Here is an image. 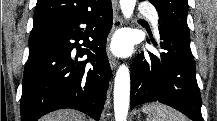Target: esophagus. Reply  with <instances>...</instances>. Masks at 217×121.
I'll return each mask as SVG.
<instances>
[{"instance_id":"esophagus-1","label":"esophagus","mask_w":217,"mask_h":121,"mask_svg":"<svg viewBox=\"0 0 217 121\" xmlns=\"http://www.w3.org/2000/svg\"><path fill=\"white\" fill-rule=\"evenodd\" d=\"M122 25H123L122 17L120 15H118L117 13H115L114 19H113V26H112L111 33H110V38L118 28L122 27ZM107 55H108V60H109L111 68L115 69L117 67L118 61H117L116 57L110 51V43H108Z\"/></svg>"}]
</instances>
